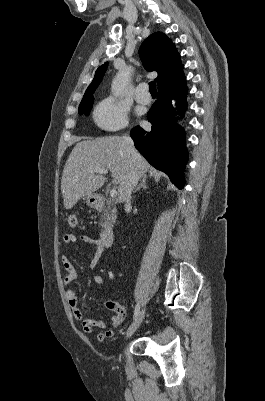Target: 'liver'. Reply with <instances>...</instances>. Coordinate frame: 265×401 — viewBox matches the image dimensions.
<instances>
[{"label":"liver","instance_id":"liver-1","mask_svg":"<svg viewBox=\"0 0 265 401\" xmlns=\"http://www.w3.org/2000/svg\"><path fill=\"white\" fill-rule=\"evenodd\" d=\"M88 138V136H80ZM135 154V156H133ZM94 168H108L118 186V201H124V186L131 172L146 176L149 164L135 148L127 146L123 136H102L81 140L74 146L64 166L61 190L65 209H72L82 196H92L105 182Z\"/></svg>","mask_w":265,"mask_h":401}]
</instances>
